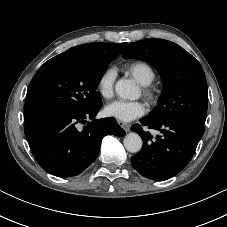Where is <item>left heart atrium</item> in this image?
<instances>
[{
	"label": "left heart atrium",
	"mask_w": 227,
	"mask_h": 227,
	"mask_svg": "<svg viewBox=\"0 0 227 227\" xmlns=\"http://www.w3.org/2000/svg\"><path fill=\"white\" fill-rule=\"evenodd\" d=\"M145 105L140 101L115 100L107 104L104 112L107 116L117 119L121 122H130L144 115Z\"/></svg>",
	"instance_id": "left-heart-atrium-1"
}]
</instances>
